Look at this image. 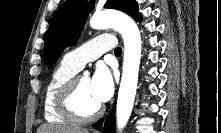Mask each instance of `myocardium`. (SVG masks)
I'll use <instances>...</instances> for the list:
<instances>
[{
	"label": "myocardium",
	"mask_w": 221,
	"mask_h": 133,
	"mask_svg": "<svg viewBox=\"0 0 221 133\" xmlns=\"http://www.w3.org/2000/svg\"><path fill=\"white\" fill-rule=\"evenodd\" d=\"M81 75H75L65 82L56 94L55 104L58 112L71 122L85 124L98 119L103 113V106L90 115H81L75 104L76 93Z\"/></svg>",
	"instance_id": "1"
}]
</instances>
